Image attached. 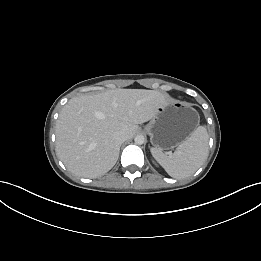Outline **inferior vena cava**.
<instances>
[{"instance_id": "602c4592", "label": "inferior vena cava", "mask_w": 261, "mask_h": 261, "mask_svg": "<svg viewBox=\"0 0 261 261\" xmlns=\"http://www.w3.org/2000/svg\"><path fill=\"white\" fill-rule=\"evenodd\" d=\"M113 138L118 144H122L124 141L127 140V135L123 132H116Z\"/></svg>"}]
</instances>
